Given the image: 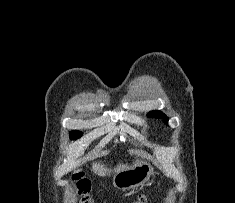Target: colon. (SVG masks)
<instances>
[{"label":"colon","mask_w":235,"mask_h":203,"mask_svg":"<svg viewBox=\"0 0 235 203\" xmlns=\"http://www.w3.org/2000/svg\"><path fill=\"white\" fill-rule=\"evenodd\" d=\"M74 187L79 197V203H94V200L90 194L91 184L89 180L77 175L74 177ZM132 203H147V198L145 195H140Z\"/></svg>","instance_id":"1"}]
</instances>
